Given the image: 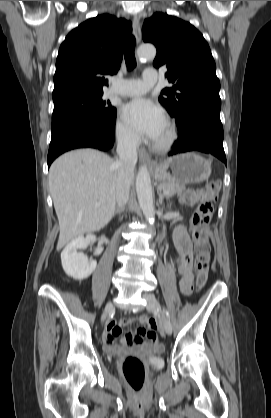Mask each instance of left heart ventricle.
<instances>
[{
	"mask_svg": "<svg viewBox=\"0 0 271 418\" xmlns=\"http://www.w3.org/2000/svg\"><path fill=\"white\" fill-rule=\"evenodd\" d=\"M167 133H168V129H167V126H165V128L162 130V132L160 133V135L155 141H162L167 136Z\"/></svg>",
	"mask_w": 271,
	"mask_h": 418,
	"instance_id": "1",
	"label": "left heart ventricle"
}]
</instances>
